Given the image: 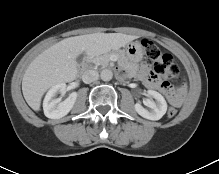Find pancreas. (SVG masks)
Listing matches in <instances>:
<instances>
[{
    "instance_id": "1",
    "label": "pancreas",
    "mask_w": 219,
    "mask_h": 174,
    "mask_svg": "<svg viewBox=\"0 0 219 174\" xmlns=\"http://www.w3.org/2000/svg\"><path fill=\"white\" fill-rule=\"evenodd\" d=\"M111 55H116L117 56L118 63L121 66L126 67L128 65L127 57L123 53H120V52H107V53H104L103 55H98V56L93 58L92 62L95 65H101L103 67H106L109 64V57Z\"/></svg>"
}]
</instances>
